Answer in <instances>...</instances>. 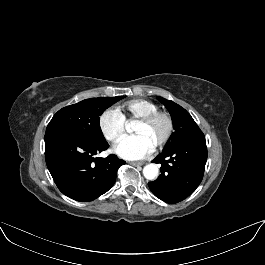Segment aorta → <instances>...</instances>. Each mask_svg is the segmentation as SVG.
I'll list each match as a JSON object with an SVG mask.
<instances>
[{"label": "aorta", "mask_w": 265, "mask_h": 265, "mask_svg": "<svg viewBox=\"0 0 265 265\" xmlns=\"http://www.w3.org/2000/svg\"><path fill=\"white\" fill-rule=\"evenodd\" d=\"M126 130L132 131V122L126 124ZM159 169L155 164H148L143 168V175L148 180H153L158 176Z\"/></svg>", "instance_id": "762f6f07"}]
</instances>
